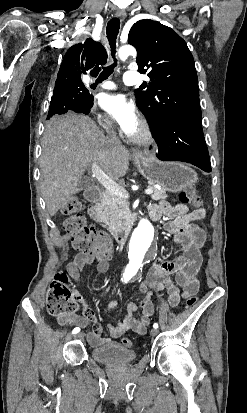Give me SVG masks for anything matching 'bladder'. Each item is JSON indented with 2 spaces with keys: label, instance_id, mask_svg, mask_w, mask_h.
<instances>
[{
  "label": "bladder",
  "instance_id": "bladder-1",
  "mask_svg": "<svg viewBox=\"0 0 247 413\" xmlns=\"http://www.w3.org/2000/svg\"><path fill=\"white\" fill-rule=\"evenodd\" d=\"M96 362L105 364L128 363L136 359V352L123 348L120 343L106 342L100 348L91 351Z\"/></svg>",
  "mask_w": 247,
  "mask_h": 413
}]
</instances>
